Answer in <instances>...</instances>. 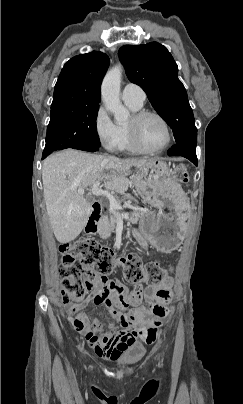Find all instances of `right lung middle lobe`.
Segmentation results:
<instances>
[{"mask_svg":"<svg viewBox=\"0 0 243 404\" xmlns=\"http://www.w3.org/2000/svg\"><path fill=\"white\" fill-rule=\"evenodd\" d=\"M99 105L65 104L51 107L42 159L75 145L99 146L96 117Z\"/></svg>","mask_w":243,"mask_h":404,"instance_id":"right-lung-middle-lobe-1","label":"right lung middle lobe"}]
</instances>
